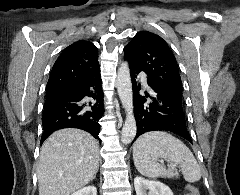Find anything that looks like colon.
<instances>
[{
    "label": "colon",
    "mask_w": 240,
    "mask_h": 195,
    "mask_svg": "<svg viewBox=\"0 0 240 195\" xmlns=\"http://www.w3.org/2000/svg\"><path fill=\"white\" fill-rule=\"evenodd\" d=\"M186 192H190L191 195H198V191L194 188H191V185H186Z\"/></svg>",
    "instance_id": "5ec220e1"
}]
</instances>
